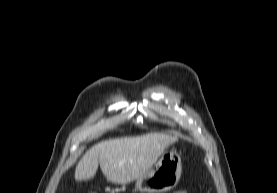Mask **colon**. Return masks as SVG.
<instances>
[{
  "instance_id": "1",
  "label": "colon",
  "mask_w": 277,
  "mask_h": 193,
  "mask_svg": "<svg viewBox=\"0 0 277 193\" xmlns=\"http://www.w3.org/2000/svg\"><path fill=\"white\" fill-rule=\"evenodd\" d=\"M93 193H95V192H93ZM174 193H188V192H187V190L182 189V190H178V191H176Z\"/></svg>"
}]
</instances>
